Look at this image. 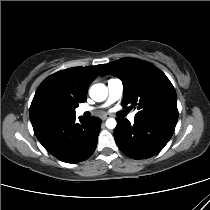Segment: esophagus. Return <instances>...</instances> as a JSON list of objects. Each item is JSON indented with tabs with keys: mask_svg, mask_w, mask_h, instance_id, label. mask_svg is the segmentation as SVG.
Returning <instances> with one entry per match:
<instances>
[{
	"mask_svg": "<svg viewBox=\"0 0 210 210\" xmlns=\"http://www.w3.org/2000/svg\"><path fill=\"white\" fill-rule=\"evenodd\" d=\"M108 117H109V116H108L107 114H105V115H102V116H101V119H102V120H106Z\"/></svg>",
	"mask_w": 210,
	"mask_h": 210,
	"instance_id": "34e87169",
	"label": "esophagus"
}]
</instances>
